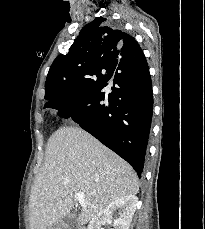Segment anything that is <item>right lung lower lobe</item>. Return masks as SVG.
Instances as JSON below:
<instances>
[{
	"label": "right lung lower lobe",
	"instance_id": "1",
	"mask_svg": "<svg viewBox=\"0 0 205 229\" xmlns=\"http://www.w3.org/2000/svg\"><path fill=\"white\" fill-rule=\"evenodd\" d=\"M113 77L116 87L110 91L105 90L107 82L48 102L45 107L71 117L130 163L140 178L153 111L152 82L144 54L133 67L118 65Z\"/></svg>",
	"mask_w": 205,
	"mask_h": 229
}]
</instances>
